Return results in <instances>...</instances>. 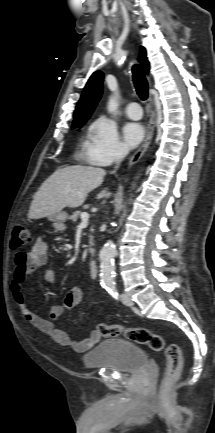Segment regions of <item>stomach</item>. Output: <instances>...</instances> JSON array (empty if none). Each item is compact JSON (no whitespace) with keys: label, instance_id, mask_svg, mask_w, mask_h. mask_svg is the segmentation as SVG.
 I'll return each mask as SVG.
<instances>
[{"label":"stomach","instance_id":"0dacf381","mask_svg":"<svg viewBox=\"0 0 215 433\" xmlns=\"http://www.w3.org/2000/svg\"><path fill=\"white\" fill-rule=\"evenodd\" d=\"M50 218L52 221L62 224L66 221L67 214H66V212L60 211V212L50 216Z\"/></svg>","mask_w":215,"mask_h":433}]
</instances>
